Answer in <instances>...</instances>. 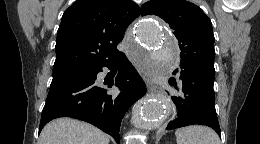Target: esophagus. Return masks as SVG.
<instances>
[{
  "mask_svg": "<svg viewBox=\"0 0 260 144\" xmlns=\"http://www.w3.org/2000/svg\"><path fill=\"white\" fill-rule=\"evenodd\" d=\"M141 75L147 83L148 92L150 94L158 93L160 91V88L158 87V85L153 83L151 73L141 72Z\"/></svg>",
  "mask_w": 260,
  "mask_h": 144,
  "instance_id": "34e87169",
  "label": "esophagus"
}]
</instances>
